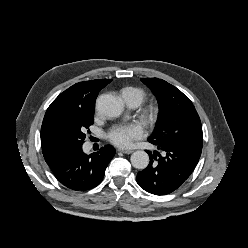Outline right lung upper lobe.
<instances>
[{"label": "right lung upper lobe", "instance_id": "cb5924a9", "mask_svg": "<svg viewBox=\"0 0 248 248\" xmlns=\"http://www.w3.org/2000/svg\"><path fill=\"white\" fill-rule=\"evenodd\" d=\"M112 79L79 82L62 92L48 107L41 127V147L46 163L52 162L68 147L52 130L54 119L62 112L77 109H93L99 91Z\"/></svg>", "mask_w": 248, "mask_h": 248}]
</instances>
